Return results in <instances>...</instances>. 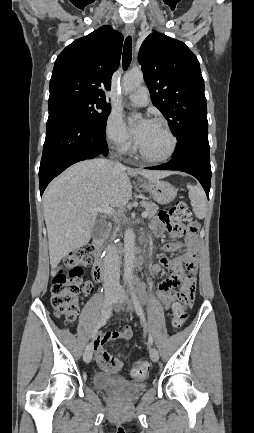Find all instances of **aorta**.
I'll use <instances>...</instances> for the list:
<instances>
[{
  "label": "aorta",
  "instance_id": "aorta-1",
  "mask_svg": "<svg viewBox=\"0 0 254 433\" xmlns=\"http://www.w3.org/2000/svg\"><path fill=\"white\" fill-rule=\"evenodd\" d=\"M143 82V73L140 70H131L123 77V88L129 93L138 88ZM138 118L137 116L134 119ZM134 239L135 235L132 229H127L124 234V281H130L134 273Z\"/></svg>",
  "mask_w": 254,
  "mask_h": 433
}]
</instances>
